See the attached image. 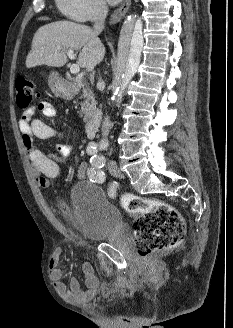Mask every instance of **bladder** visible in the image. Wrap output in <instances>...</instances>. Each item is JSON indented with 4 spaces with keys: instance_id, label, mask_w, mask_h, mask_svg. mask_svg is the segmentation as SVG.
Returning <instances> with one entry per match:
<instances>
[{
    "instance_id": "1",
    "label": "bladder",
    "mask_w": 233,
    "mask_h": 328,
    "mask_svg": "<svg viewBox=\"0 0 233 328\" xmlns=\"http://www.w3.org/2000/svg\"><path fill=\"white\" fill-rule=\"evenodd\" d=\"M67 218L87 239H108L122 227L117 207L104 191L89 181L77 182L70 191L69 202L62 207Z\"/></svg>"
}]
</instances>
